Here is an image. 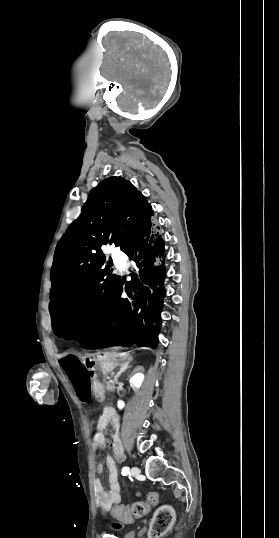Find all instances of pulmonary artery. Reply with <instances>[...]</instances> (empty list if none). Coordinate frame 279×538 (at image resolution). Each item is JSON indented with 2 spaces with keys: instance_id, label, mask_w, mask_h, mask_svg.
Returning a JSON list of instances; mask_svg holds the SVG:
<instances>
[{
  "instance_id": "obj_1",
  "label": "pulmonary artery",
  "mask_w": 279,
  "mask_h": 538,
  "mask_svg": "<svg viewBox=\"0 0 279 538\" xmlns=\"http://www.w3.org/2000/svg\"><path fill=\"white\" fill-rule=\"evenodd\" d=\"M122 270H126V267H123Z\"/></svg>"
}]
</instances>
